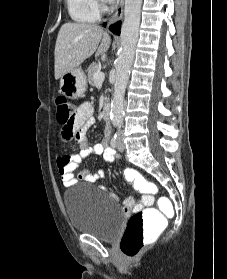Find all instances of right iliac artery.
I'll return each mask as SVG.
<instances>
[{
	"instance_id": "1",
	"label": "right iliac artery",
	"mask_w": 227,
	"mask_h": 279,
	"mask_svg": "<svg viewBox=\"0 0 227 279\" xmlns=\"http://www.w3.org/2000/svg\"><path fill=\"white\" fill-rule=\"evenodd\" d=\"M110 144H111V146H112L113 148L117 147V145H118L117 134H115V135L113 136V138L111 139Z\"/></svg>"
}]
</instances>
